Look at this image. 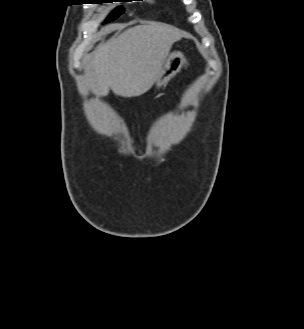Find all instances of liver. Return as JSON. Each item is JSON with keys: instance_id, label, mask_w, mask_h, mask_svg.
Listing matches in <instances>:
<instances>
[{"instance_id": "1", "label": "liver", "mask_w": 304, "mask_h": 329, "mask_svg": "<svg viewBox=\"0 0 304 329\" xmlns=\"http://www.w3.org/2000/svg\"><path fill=\"white\" fill-rule=\"evenodd\" d=\"M183 32L171 25L150 22L112 36L89 61L88 86L97 96L126 98L147 92L157 81L169 51Z\"/></svg>"}]
</instances>
